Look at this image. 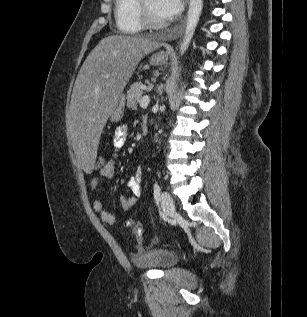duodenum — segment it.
<instances>
[{
	"label": "duodenum",
	"instance_id": "duodenum-1",
	"mask_svg": "<svg viewBox=\"0 0 307 317\" xmlns=\"http://www.w3.org/2000/svg\"><path fill=\"white\" fill-rule=\"evenodd\" d=\"M141 130L143 134H146L148 131V123L146 121V119H143L141 122Z\"/></svg>",
	"mask_w": 307,
	"mask_h": 317
}]
</instances>
